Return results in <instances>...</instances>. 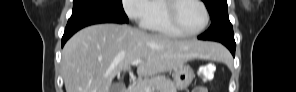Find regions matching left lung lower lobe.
<instances>
[{
  "instance_id": "0a47b994",
  "label": "left lung lower lobe",
  "mask_w": 296,
  "mask_h": 92,
  "mask_svg": "<svg viewBox=\"0 0 296 92\" xmlns=\"http://www.w3.org/2000/svg\"><path fill=\"white\" fill-rule=\"evenodd\" d=\"M198 39L200 40H205V38L203 37V35L198 36ZM222 44H224L232 53L233 56H235V48H236V44L235 41L230 42V41H222Z\"/></svg>"
}]
</instances>
